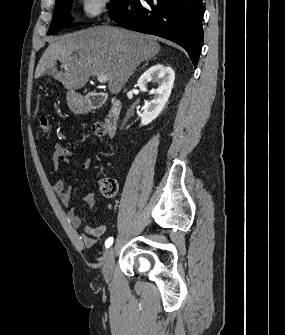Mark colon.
<instances>
[{
    "mask_svg": "<svg viewBox=\"0 0 285 335\" xmlns=\"http://www.w3.org/2000/svg\"><path fill=\"white\" fill-rule=\"evenodd\" d=\"M39 125H40L41 132L43 134L49 133L50 123L46 116L43 115L40 117ZM92 131L95 134V136L98 138H102L105 135V127L100 123L93 124ZM100 190L102 194L107 197L115 196L118 190V185H117L116 180L112 178H104L100 183Z\"/></svg>",
    "mask_w": 285,
    "mask_h": 335,
    "instance_id": "1",
    "label": "colon"
}]
</instances>
